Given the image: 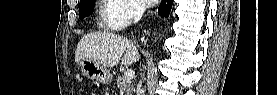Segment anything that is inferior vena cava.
<instances>
[{"instance_id": "inferior-vena-cava-1", "label": "inferior vena cava", "mask_w": 277, "mask_h": 95, "mask_svg": "<svg viewBox=\"0 0 277 95\" xmlns=\"http://www.w3.org/2000/svg\"><path fill=\"white\" fill-rule=\"evenodd\" d=\"M145 8L142 5H136L134 9V23H137L143 16ZM137 95H144L143 90H138Z\"/></svg>"}]
</instances>
